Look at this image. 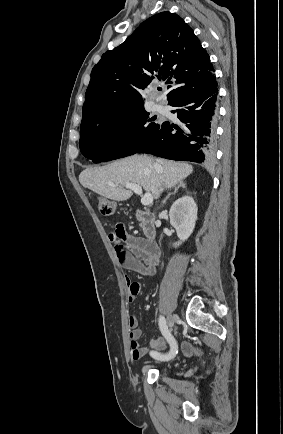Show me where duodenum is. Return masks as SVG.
I'll use <instances>...</instances> for the list:
<instances>
[{"instance_id": "410a0bca", "label": "duodenum", "mask_w": 283, "mask_h": 434, "mask_svg": "<svg viewBox=\"0 0 283 434\" xmlns=\"http://www.w3.org/2000/svg\"><path fill=\"white\" fill-rule=\"evenodd\" d=\"M136 218L141 223L142 231L145 236V240L153 246H156L155 238H156V218L153 213L144 211V210H136ZM125 233V231H124Z\"/></svg>"}]
</instances>
